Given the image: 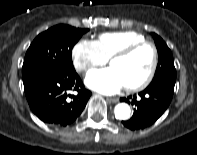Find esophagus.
Returning <instances> with one entry per match:
<instances>
[{"label": "esophagus", "instance_id": "esophagus-1", "mask_svg": "<svg viewBox=\"0 0 197 155\" xmlns=\"http://www.w3.org/2000/svg\"><path fill=\"white\" fill-rule=\"evenodd\" d=\"M106 100L112 103H117L119 101L117 98H110V97H107Z\"/></svg>", "mask_w": 197, "mask_h": 155}]
</instances>
